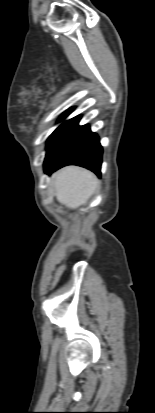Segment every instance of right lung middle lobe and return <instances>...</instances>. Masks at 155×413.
<instances>
[{
	"mask_svg": "<svg viewBox=\"0 0 155 413\" xmlns=\"http://www.w3.org/2000/svg\"><path fill=\"white\" fill-rule=\"evenodd\" d=\"M73 109H70L66 112H64L61 116V120H63L65 117H67ZM73 119H70L68 121H65L62 123L49 137L48 139V144H47V153H46V158L52 153V151L56 148V146L60 143V141L63 139L65 133L69 129ZM45 158V159H46Z\"/></svg>",
	"mask_w": 155,
	"mask_h": 413,
	"instance_id": "right-lung-middle-lobe-1",
	"label": "right lung middle lobe"
}]
</instances>
